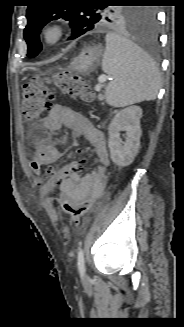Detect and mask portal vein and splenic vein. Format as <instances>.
I'll return each mask as SVG.
<instances>
[{"mask_svg": "<svg viewBox=\"0 0 184 327\" xmlns=\"http://www.w3.org/2000/svg\"><path fill=\"white\" fill-rule=\"evenodd\" d=\"M108 79H109L108 76H105V75L100 76L98 78L99 84L95 86V90L100 91L102 83L106 82Z\"/></svg>", "mask_w": 184, "mask_h": 327, "instance_id": "obj_1", "label": "portal vein and splenic vein"}]
</instances>
